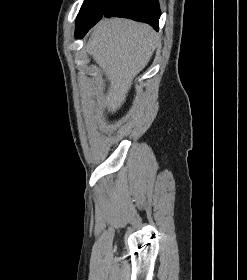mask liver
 I'll list each match as a JSON object with an SVG mask.
<instances>
[{
    "instance_id": "1",
    "label": "liver",
    "mask_w": 247,
    "mask_h": 280,
    "mask_svg": "<svg viewBox=\"0 0 247 280\" xmlns=\"http://www.w3.org/2000/svg\"><path fill=\"white\" fill-rule=\"evenodd\" d=\"M157 43L152 27L129 19L105 18L94 27L88 52L110 81L104 99L108 111L116 112L123 105L133 78L150 61Z\"/></svg>"
}]
</instances>
